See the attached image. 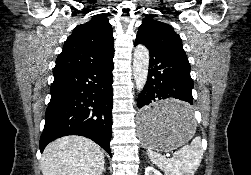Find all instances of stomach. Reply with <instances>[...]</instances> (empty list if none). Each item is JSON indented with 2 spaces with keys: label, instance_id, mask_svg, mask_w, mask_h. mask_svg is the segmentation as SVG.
I'll return each instance as SVG.
<instances>
[{
  "label": "stomach",
  "instance_id": "0dacf381",
  "mask_svg": "<svg viewBox=\"0 0 251 175\" xmlns=\"http://www.w3.org/2000/svg\"><path fill=\"white\" fill-rule=\"evenodd\" d=\"M183 104V100H154L153 105L140 109L137 129L141 143L157 151H171L198 134V129H187L198 128V118L181 114L193 111V106Z\"/></svg>",
  "mask_w": 251,
  "mask_h": 175
}]
</instances>
